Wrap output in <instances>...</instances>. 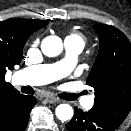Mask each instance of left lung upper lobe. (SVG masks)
<instances>
[{"mask_svg":"<svg viewBox=\"0 0 131 131\" xmlns=\"http://www.w3.org/2000/svg\"><path fill=\"white\" fill-rule=\"evenodd\" d=\"M94 29L100 48L86 84L95 90L93 108L119 127L131 110V44L113 26L97 23Z\"/></svg>","mask_w":131,"mask_h":131,"instance_id":"left-lung-upper-lobe-1","label":"left lung upper lobe"}]
</instances>
